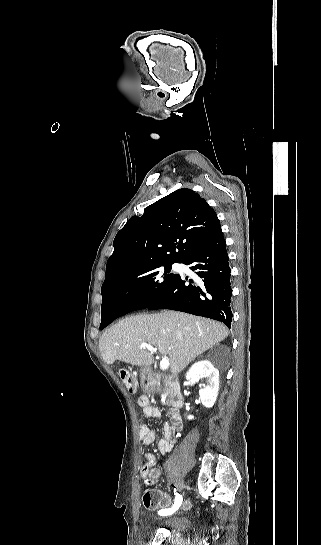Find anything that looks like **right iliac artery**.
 I'll use <instances>...</instances> for the list:
<instances>
[{
	"instance_id": "1",
	"label": "right iliac artery",
	"mask_w": 321,
	"mask_h": 545,
	"mask_svg": "<svg viewBox=\"0 0 321 545\" xmlns=\"http://www.w3.org/2000/svg\"><path fill=\"white\" fill-rule=\"evenodd\" d=\"M174 490H175V491H174V494H175V504H174V506H173L171 509L164 511L163 513H166V514L173 513V512L176 511V510L180 507V505H181L182 497H181L178 493H176V489H174Z\"/></svg>"
}]
</instances>
